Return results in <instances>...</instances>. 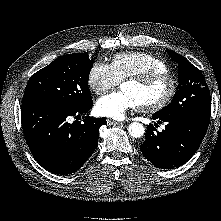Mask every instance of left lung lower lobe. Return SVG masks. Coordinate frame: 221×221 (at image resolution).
Segmentation results:
<instances>
[{"mask_svg":"<svg viewBox=\"0 0 221 221\" xmlns=\"http://www.w3.org/2000/svg\"><path fill=\"white\" fill-rule=\"evenodd\" d=\"M158 123L166 122L162 132L150 124L140 151L153 165L161 169L178 167L194 155L208 129L210 115L189 114L162 118L155 114ZM157 123H155V126Z\"/></svg>","mask_w":221,"mask_h":221,"instance_id":"obj_1","label":"left lung lower lobe"}]
</instances>
